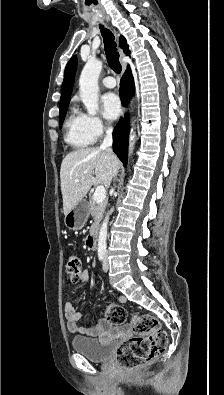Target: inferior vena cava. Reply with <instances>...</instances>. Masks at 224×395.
Wrapping results in <instances>:
<instances>
[{
  "instance_id": "obj_1",
  "label": "inferior vena cava",
  "mask_w": 224,
  "mask_h": 395,
  "mask_svg": "<svg viewBox=\"0 0 224 395\" xmlns=\"http://www.w3.org/2000/svg\"><path fill=\"white\" fill-rule=\"evenodd\" d=\"M100 147L102 149H107L109 151H112L111 150V147H112V128L111 127H108L106 129V136H105L103 143L101 144ZM117 173H118V169H115L114 176L117 175Z\"/></svg>"
}]
</instances>
